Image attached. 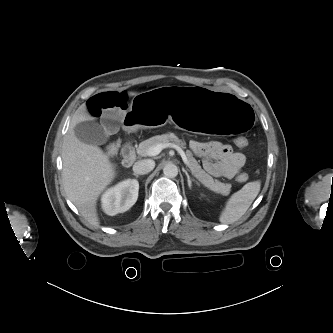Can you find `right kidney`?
I'll return each mask as SVG.
<instances>
[{
    "mask_svg": "<svg viewBox=\"0 0 333 333\" xmlns=\"http://www.w3.org/2000/svg\"><path fill=\"white\" fill-rule=\"evenodd\" d=\"M138 191L136 179H127L109 188L101 198L103 211L113 216L129 210L137 201Z\"/></svg>",
    "mask_w": 333,
    "mask_h": 333,
    "instance_id": "obj_1",
    "label": "right kidney"
}]
</instances>
